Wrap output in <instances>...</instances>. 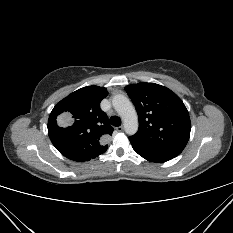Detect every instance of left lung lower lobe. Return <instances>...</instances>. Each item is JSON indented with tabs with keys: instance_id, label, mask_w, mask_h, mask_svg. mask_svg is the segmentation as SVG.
Masks as SVG:
<instances>
[{
	"instance_id": "obj_1",
	"label": "left lung lower lobe",
	"mask_w": 233,
	"mask_h": 233,
	"mask_svg": "<svg viewBox=\"0 0 233 233\" xmlns=\"http://www.w3.org/2000/svg\"><path fill=\"white\" fill-rule=\"evenodd\" d=\"M132 147L140 156H142L144 159L151 161V162L161 163V162H166L172 159L171 157L145 150L134 144H132Z\"/></svg>"
}]
</instances>
